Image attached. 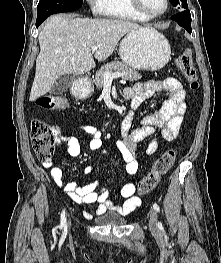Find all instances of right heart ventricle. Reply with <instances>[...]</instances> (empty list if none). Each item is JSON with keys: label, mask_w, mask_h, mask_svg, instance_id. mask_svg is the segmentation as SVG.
Masks as SVG:
<instances>
[{"label": "right heart ventricle", "mask_w": 221, "mask_h": 263, "mask_svg": "<svg viewBox=\"0 0 221 263\" xmlns=\"http://www.w3.org/2000/svg\"><path fill=\"white\" fill-rule=\"evenodd\" d=\"M102 14L116 19L146 20L134 9L130 0H102Z\"/></svg>", "instance_id": "obj_1"}]
</instances>
